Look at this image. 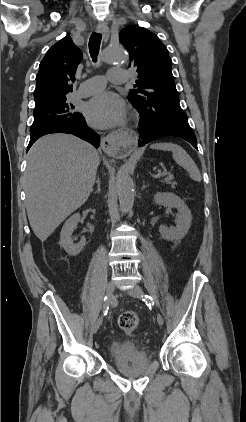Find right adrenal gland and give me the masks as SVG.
<instances>
[{
    "label": "right adrenal gland",
    "instance_id": "1",
    "mask_svg": "<svg viewBox=\"0 0 246 422\" xmlns=\"http://www.w3.org/2000/svg\"><path fill=\"white\" fill-rule=\"evenodd\" d=\"M96 183H97V190L95 191V194H99L101 191V184H100L99 178H97Z\"/></svg>",
    "mask_w": 246,
    "mask_h": 422
}]
</instances>
